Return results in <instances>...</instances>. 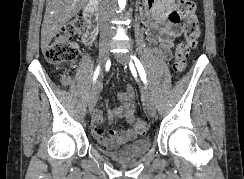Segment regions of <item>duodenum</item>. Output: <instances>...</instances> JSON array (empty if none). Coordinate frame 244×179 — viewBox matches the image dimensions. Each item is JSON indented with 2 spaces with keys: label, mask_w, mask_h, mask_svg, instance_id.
Segmentation results:
<instances>
[{
  "label": "duodenum",
  "mask_w": 244,
  "mask_h": 179,
  "mask_svg": "<svg viewBox=\"0 0 244 179\" xmlns=\"http://www.w3.org/2000/svg\"><path fill=\"white\" fill-rule=\"evenodd\" d=\"M98 13V2L97 0H88L86 2L85 8L83 10L84 17L89 21L90 34L89 39L93 40L95 34V22L94 19Z\"/></svg>",
  "instance_id": "1"
}]
</instances>
